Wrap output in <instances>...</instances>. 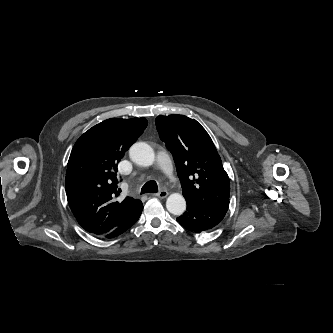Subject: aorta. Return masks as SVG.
<instances>
[{"label": "aorta", "instance_id": "1", "mask_svg": "<svg viewBox=\"0 0 333 333\" xmlns=\"http://www.w3.org/2000/svg\"><path fill=\"white\" fill-rule=\"evenodd\" d=\"M131 160L140 166H151L155 162V153L145 142L133 144L129 150ZM167 210L174 215H181L186 209V201L179 193L171 194L166 201Z\"/></svg>", "mask_w": 333, "mask_h": 333}]
</instances>
